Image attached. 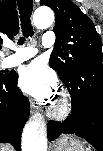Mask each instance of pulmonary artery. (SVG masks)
<instances>
[{"label": "pulmonary artery", "instance_id": "e3ab8cb5", "mask_svg": "<svg viewBox=\"0 0 103 151\" xmlns=\"http://www.w3.org/2000/svg\"><path fill=\"white\" fill-rule=\"evenodd\" d=\"M55 42V36L52 32H47L42 38V44L44 47H51ZM37 54V49L34 47H18L16 53L9 58V65L16 66Z\"/></svg>", "mask_w": 103, "mask_h": 151}]
</instances>
